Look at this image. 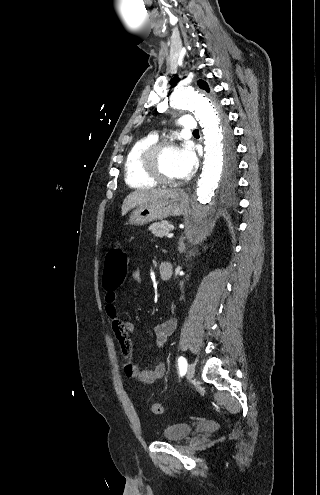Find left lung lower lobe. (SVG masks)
<instances>
[{"mask_svg": "<svg viewBox=\"0 0 320 495\" xmlns=\"http://www.w3.org/2000/svg\"><path fill=\"white\" fill-rule=\"evenodd\" d=\"M223 125H224V129H227L230 131V128L228 126V122H227L226 118L223 119Z\"/></svg>", "mask_w": 320, "mask_h": 495, "instance_id": "left-lung-lower-lobe-1", "label": "left lung lower lobe"}]
</instances>
